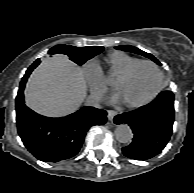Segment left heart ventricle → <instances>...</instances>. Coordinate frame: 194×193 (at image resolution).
I'll return each mask as SVG.
<instances>
[{
    "label": "left heart ventricle",
    "instance_id": "b2bd125f",
    "mask_svg": "<svg viewBox=\"0 0 194 193\" xmlns=\"http://www.w3.org/2000/svg\"><path fill=\"white\" fill-rule=\"evenodd\" d=\"M157 85V71L150 65H142L119 85L118 95L123 102L138 103L149 98Z\"/></svg>",
    "mask_w": 194,
    "mask_h": 193
}]
</instances>
